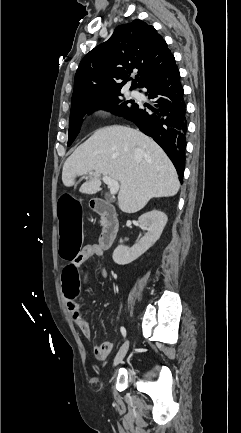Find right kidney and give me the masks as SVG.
<instances>
[{"mask_svg":"<svg viewBox=\"0 0 241 433\" xmlns=\"http://www.w3.org/2000/svg\"><path fill=\"white\" fill-rule=\"evenodd\" d=\"M167 216L160 210H152L142 214L139 219V225L147 232L132 247L119 245L113 252V260L119 265H126L142 254H144L160 238L163 229L167 223Z\"/></svg>","mask_w":241,"mask_h":433,"instance_id":"1","label":"right kidney"}]
</instances>
